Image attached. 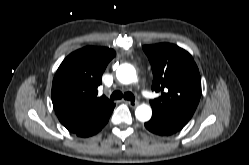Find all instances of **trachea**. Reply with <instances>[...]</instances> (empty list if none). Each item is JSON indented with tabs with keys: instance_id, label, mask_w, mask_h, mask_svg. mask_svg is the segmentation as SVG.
<instances>
[{
	"instance_id": "trachea-1",
	"label": "trachea",
	"mask_w": 249,
	"mask_h": 165,
	"mask_svg": "<svg viewBox=\"0 0 249 165\" xmlns=\"http://www.w3.org/2000/svg\"><path fill=\"white\" fill-rule=\"evenodd\" d=\"M122 97H124L125 100H129V101L135 100V97L131 92H126L123 95L121 91H114L110 96L112 100H118V99H121Z\"/></svg>"
}]
</instances>
